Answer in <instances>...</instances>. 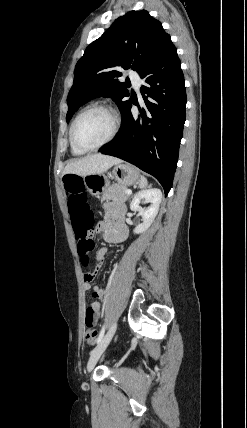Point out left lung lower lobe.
Listing matches in <instances>:
<instances>
[{
  "label": "left lung lower lobe",
  "mask_w": 247,
  "mask_h": 428,
  "mask_svg": "<svg viewBox=\"0 0 247 428\" xmlns=\"http://www.w3.org/2000/svg\"><path fill=\"white\" fill-rule=\"evenodd\" d=\"M144 99L138 118L129 100L122 112L118 137L99 151L123 159L154 176L165 195L172 187L183 134L186 91L176 47L158 57L140 74Z\"/></svg>",
  "instance_id": "0a47b994"
}]
</instances>
